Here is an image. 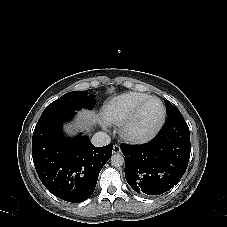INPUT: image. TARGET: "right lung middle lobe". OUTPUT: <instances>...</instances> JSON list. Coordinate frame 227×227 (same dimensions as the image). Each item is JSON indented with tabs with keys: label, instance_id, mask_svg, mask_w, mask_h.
Wrapping results in <instances>:
<instances>
[{
	"label": "right lung middle lobe",
	"instance_id": "right-lung-middle-lobe-1",
	"mask_svg": "<svg viewBox=\"0 0 227 227\" xmlns=\"http://www.w3.org/2000/svg\"><path fill=\"white\" fill-rule=\"evenodd\" d=\"M95 104L94 96L88 95L87 91H73L64 94L59 99L49 104L42 115L74 113L82 108L92 109Z\"/></svg>",
	"mask_w": 227,
	"mask_h": 227
}]
</instances>
